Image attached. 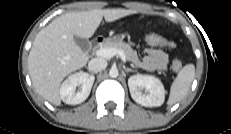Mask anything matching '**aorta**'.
Wrapping results in <instances>:
<instances>
[{"instance_id": "aorta-1", "label": "aorta", "mask_w": 231, "mask_h": 134, "mask_svg": "<svg viewBox=\"0 0 231 134\" xmlns=\"http://www.w3.org/2000/svg\"><path fill=\"white\" fill-rule=\"evenodd\" d=\"M119 75V71L117 68H111L110 71H109V76L111 78H117Z\"/></svg>"}]
</instances>
